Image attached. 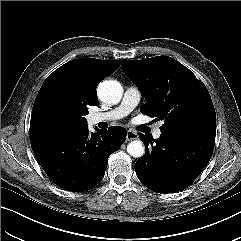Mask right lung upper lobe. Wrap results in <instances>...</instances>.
Segmentation results:
<instances>
[{"label": "right lung upper lobe", "instance_id": "right-lung-upper-lobe-1", "mask_svg": "<svg viewBox=\"0 0 241 241\" xmlns=\"http://www.w3.org/2000/svg\"><path fill=\"white\" fill-rule=\"evenodd\" d=\"M120 66L119 60H100L80 58L72 60L50 74L39 90L32 110L30 122L31 142L69 133L87 127L84 117L88 112L87 106L97 104L96 87L105 77L114 73ZM56 98L67 100L75 109L83 114L77 125L64 133L46 134L38 126L41 108Z\"/></svg>", "mask_w": 241, "mask_h": 241}]
</instances>
